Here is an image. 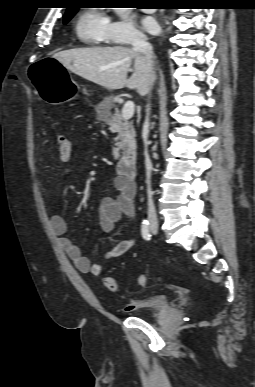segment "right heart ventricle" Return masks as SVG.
<instances>
[{
    "instance_id": "e07e8e85",
    "label": "right heart ventricle",
    "mask_w": 255,
    "mask_h": 387,
    "mask_svg": "<svg viewBox=\"0 0 255 387\" xmlns=\"http://www.w3.org/2000/svg\"><path fill=\"white\" fill-rule=\"evenodd\" d=\"M109 20L100 10L90 9L80 14L75 24L77 37L85 44L107 43L106 27Z\"/></svg>"
}]
</instances>
